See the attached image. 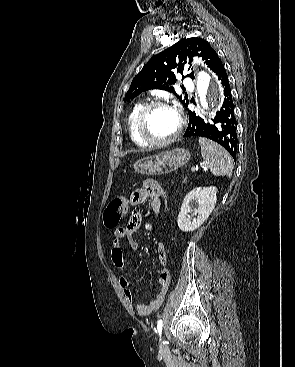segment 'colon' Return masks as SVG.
<instances>
[{"label":"colon","mask_w":295,"mask_h":367,"mask_svg":"<svg viewBox=\"0 0 295 367\" xmlns=\"http://www.w3.org/2000/svg\"><path fill=\"white\" fill-rule=\"evenodd\" d=\"M160 202L163 212L170 210L169 202L171 201L170 195H165ZM128 210V201L123 196H117L111 200L104 212V224L107 228H115L119 224L121 218L125 215Z\"/></svg>","instance_id":"colon-1"}]
</instances>
